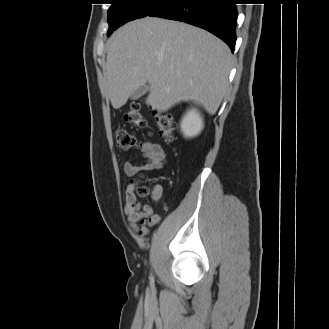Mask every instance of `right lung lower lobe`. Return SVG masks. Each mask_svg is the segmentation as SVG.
Returning <instances> with one entry per match:
<instances>
[{
  "label": "right lung lower lobe",
  "mask_w": 329,
  "mask_h": 329,
  "mask_svg": "<svg viewBox=\"0 0 329 329\" xmlns=\"http://www.w3.org/2000/svg\"><path fill=\"white\" fill-rule=\"evenodd\" d=\"M236 0H172L149 16L185 22L222 39L232 51L236 43Z\"/></svg>",
  "instance_id": "right-lung-lower-lobe-1"
}]
</instances>
